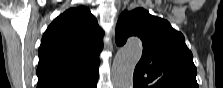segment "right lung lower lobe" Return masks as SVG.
<instances>
[{"mask_svg":"<svg viewBox=\"0 0 223 88\" xmlns=\"http://www.w3.org/2000/svg\"><path fill=\"white\" fill-rule=\"evenodd\" d=\"M96 84H97V81H95L90 88H96Z\"/></svg>","mask_w":223,"mask_h":88,"instance_id":"1","label":"right lung lower lobe"}]
</instances>
